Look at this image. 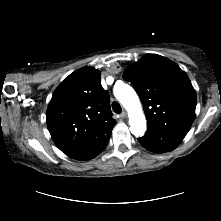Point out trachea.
<instances>
[{
  "mask_svg": "<svg viewBox=\"0 0 221 221\" xmlns=\"http://www.w3.org/2000/svg\"><path fill=\"white\" fill-rule=\"evenodd\" d=\"M112 109L115 113L120 114L122 112V108L118 102L112 103Z\"/></svg>",
  "mask_w": 221,
  "mask_h": 221,
  "instance_id": "trachea-1",
  "label": "trachea"
}]
</instances>
